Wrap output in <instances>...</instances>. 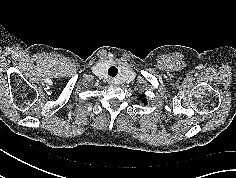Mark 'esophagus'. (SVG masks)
Instances as JSON below:
<instances>
[{
    "label": "esophagus",
    "instance_id": "obj_1",
    "mask_svg": "<svg viewBox=\"0 0 236 178\" xmlns=\"http://www.w3.org/2000/svg\"><path fill=\"white\" fill-rule=\"evenodd\" d=\"M109 84H111V85H114V84H116V83H115V80H114V79H112V78H111V79H109Z\"/></svg>",
    "mask_w": 236,
    "mask_h": 178
}]
</instances>
